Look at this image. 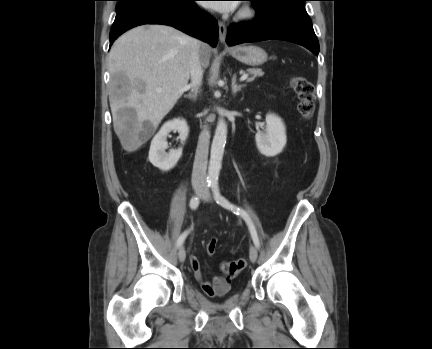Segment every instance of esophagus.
Masks as SVG:
<instances>
[{"label": "esophagus", "instance_id": "34e87169", "mask_svg": "<svg viewBox=\"0 0 432 349\" xmlns=\"http://www.w3.org/2000/svg\"><path fill=\"white\" fill-rule=\"evenodd\" d=\"M218 27H219V40L221 43L225 44L226 35H227V28H226L225 24L221 21H219Z\"/></svg>", "mask_w": 432, "mask_h": 349}]
</instances>
